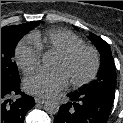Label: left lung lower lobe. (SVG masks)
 I'll use <instances>...</instances> for the list:
<instances>
[{
    "label": "left lung lower lobe",
    "instance_id": "0a47b994",
    "mask_svg": "<svg viewBox=\"0 0 123 123\" xmlns=\"http://www.w3.org/2000/svg\"><path fill=\"white\" fill-rule=\"evenodd\" d=\"M67 96L71 102L60 107L54 123H106L114 95L80 90Z\"/></svg>",
    "mask_w": 123,
    "mask_h": 123
}]
</instances>
